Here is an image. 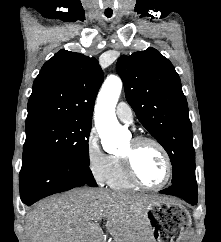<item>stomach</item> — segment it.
<instances>
[{
	"label": "stomach",
	"mask_w": 221,
	"mask_h": 242,
	"mask_svg": "<svg viewBox=\"0 0 221 242\" xmlns=\"http://www.w3.org/2000/svg\"><path fill=\"white\" fill-rule=\"evenodd\" d=\"M144 215L150 228L149 242H180L191 226V217L178 201L159 198L149 203Z\"/></svg>",
	"instance_id": "0dacf381"
}]
</instances>
